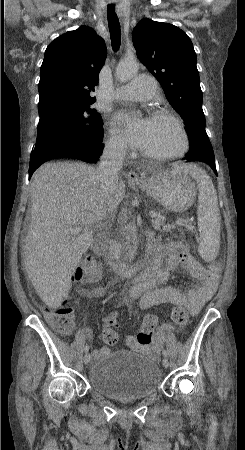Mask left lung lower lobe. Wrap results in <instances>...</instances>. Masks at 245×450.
I'll return each instance as SVG.
<instances>
[{
	"instance_id": "obj_1",
	"label": "left lung lower lobe",
	"mask_w": 245,
	"mask_h": 450,
	"mask_svg": "<svg viewBox=\"0 0 245 450\" xmlns=\"http://www.w3.org/2000/svg\"><path fill=\"white\" fill-rule=\"evenodd\" d=\"M183 160H197L201 162H205L214 170L217 175L216 166H215V157L212 148L206 147L205 149H200L198 153L195 154H187Z\"/></svg>"
}]
</instances>
